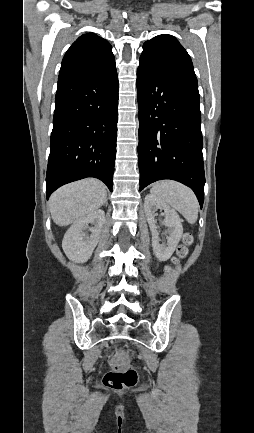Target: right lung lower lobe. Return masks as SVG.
I'll return each mask as SVG.
<instances>
[{
	"mask_svg": "<svg viewBox=\"0 0 254 433\" xmlns=\"http://www.w3.org/2000/svg\"><path fill=\"white\" fill-rule=\"evenodd\" d=\"M118 78L115 64L58 79L46 174L47 199L60 186L86 177L110 191L116 155Z\"/></svg>",
	"mask_w": 254,
	"mask_h": 433,
	"instance_id": "right-lung-lower-lobe-1",
	"label": "right lung lower lobe"
}]
</instances>
